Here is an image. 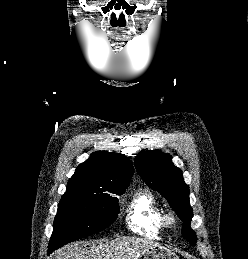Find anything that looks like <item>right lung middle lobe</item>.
I'll use <instances>...</instances> for the list:
<instances>
[{
    "instance_id": "right-lung-middle-lobe-1",
    "label": "right lung middle lobe",
    "mask_w": 248,
    "mask_h": 259,
    "mask_svg": "<svg viewBox=\"0 0 248 259\" xmlns=\"http://www.w3.org/2000/svg\"><path fill=\"white\" fill-rule=\"evenodd\" d=\"M125 189H67L58 205L49 246L57 249L69 242L99 232L119 213L118 199Z\"/></svg>"
}]
</instances>
